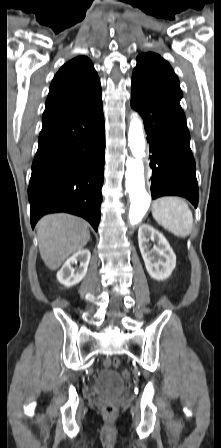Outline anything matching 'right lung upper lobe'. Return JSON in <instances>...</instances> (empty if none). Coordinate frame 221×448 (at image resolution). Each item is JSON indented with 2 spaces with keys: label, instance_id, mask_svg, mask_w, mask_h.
Listing matches in <instances>:
<instances>
[{
  "label": "right lung upper lobe",
  "instance_id": "1",
  "mask_svg": "<svg viewBox=\"0 0 221 448\" xmlns=\"http://www.w3.org/2000/svg\"><path fill=\"white\" fill-rule=\"evenodd\" d=\"M101 95L100 80L92 62L84 56L76 57L64 64L52 80L42 122H52Z\"/></svg>",
  "mask_w": 221,
  "mask_h": 448
}]
</instances>
